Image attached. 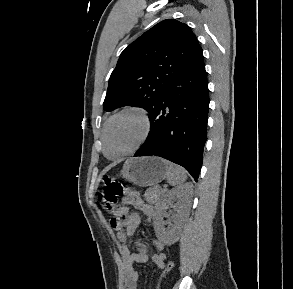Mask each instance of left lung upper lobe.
Returning a JSON list of instances; mask_svg holds the SVG:
<instances>
[{
	"label": "left lung upper lobe",
	"mask_w": 293,
	"mask_h": 289,
	"mask_svg": "<svg viewBox=\"0 0 293 289\" xmlns=\"http://www.w3.org/2000/svg\"><path fill=\"white\" fill-rule=\"evenodd\" d=\"M200 53L188 25L175 19L159 22L121 53L109 79L104 109L130 105L149 111Z\"/></svg>",
	"instance_id": "1"
}]
</instances>
